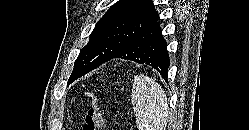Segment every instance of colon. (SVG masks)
<instances>
[{"label":"colon","mask_w":249,"mask_h":130,"mask_svg":"<svg viewBox=\"0 0 249 130\" xmlns=\"http://www.w3.org/2000/svg\"><path fill=\"white\" fill-rule=\"evenodd\" d=\"M90 107L87 110L83 130H104V101L95 93L88 94Z\"/></svg>","instance_id":"5ec220e1"}]
</instances>
